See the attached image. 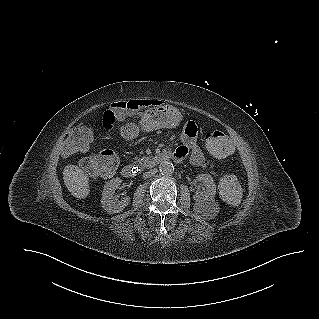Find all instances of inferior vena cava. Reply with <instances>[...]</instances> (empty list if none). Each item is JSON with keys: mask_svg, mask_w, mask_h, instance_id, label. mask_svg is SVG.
Returning <instances> with one entry per match:
<instances>
[{"mask_svg": "<svg viewBox=\"0 0 319 319\" xmlns=\"http://www.w3.org/2000/svg\"><path fill=\"white\" fill-rule=\"evenodd\" d=\"M156 172H157V169H151V170H149V171H147V172H145V173H143V178H149V177H151L152 175H154V174H156Z\"/></svg>", "mask_w": 319, "mask_h": 319, "instance_id": "obj_1", "label": "inferior vena cava"}]
</instances>
